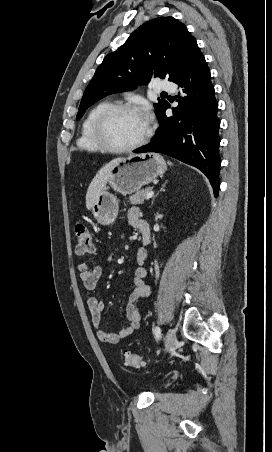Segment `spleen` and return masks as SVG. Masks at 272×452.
<instances>
[{"label": "spleen", "mask_w": 272, "mask_h": 452, "mask_svg": "<svg viewBox=\"0 0 272 452\" xmlns=\"http://www.w3.org/2000/svg\"><path fill=\"white\" fill-rule=\"evenodd\" d=\"M168 164H169V165H172V163H171V162H168Z\"/></svg>", "instance_id": "obj_1"}]
</instances>
